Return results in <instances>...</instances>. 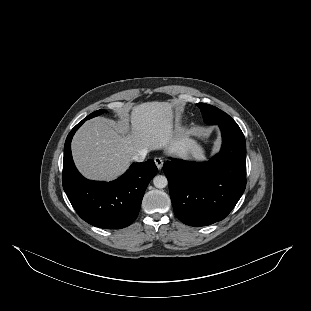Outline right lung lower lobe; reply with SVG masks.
<instances>
[{"instance_id":"right-lung-lower-lobe-1","label":"right lung lower lobe","mask_w":311,"mask_h":311,"mask_svg":"<svg viewBox=\"0 0 311 311\" xmlns=\"http://www.w3.org/2000/svg\"><path fill=\"white\" fill-rule=\"evenodd\" d=\"M82 120L68 134L64 146L63 188L77 214L87 223L104 229H121L137 218L144 192L156 175L153 160L134 163L124 175L111 182L92 181L76 169L71 140Z\"/></svg>"}]
</instances>
